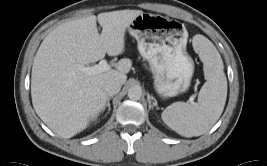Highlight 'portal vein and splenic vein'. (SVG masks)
Returning <instances> with one entry per match:
<instances>
[{
  "mask_svg": "<svg viewBox=\"0 0 267 166\" xmlns=\"http://www.w3.org/2000/svg\"><path fill=\"white\" fill-rule=\"evenodd\" d=\"M79 69L87 75H94V74L109 71L111 69V66L107 63L105 59H103L98 64L91 66V67L79 65ZM189 101L193 103L194 96H192Z\"/></svg>",
  "mask_w": 267,
  "mask_h": 166,
  "instance_id": "obj_1",
  "label": "portal vein and splenic vein"
}]
</instances>
